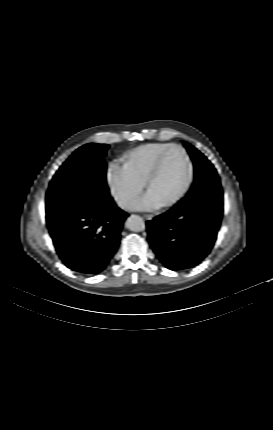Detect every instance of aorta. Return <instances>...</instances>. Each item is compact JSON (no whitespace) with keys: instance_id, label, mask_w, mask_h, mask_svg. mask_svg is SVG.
I'll return each mask as SVG.
<instances>
[{"instance_id":"1","label":"aorta","mask_w":273,"mask_h":430,"mask_svg":"<svg viewBox=\"0 0 273 430\" xmlns=\"http://www.w3.org/2000/svg\"><path fill=\"white\" fill-rule=\"evenodd\" d=\"M126 228L134 232H140L145 229V223L143 219L138 215H131L126 220Z\"/></svg>"}]
</instances>
